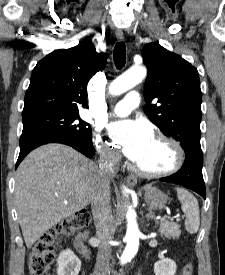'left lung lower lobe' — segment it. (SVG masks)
Here are the masks:
<instances>
[{
    "mask_svg": "<svg viewBox=\"0 0 225 275\" xmlns=\"http://www.w3.org/2000/svg\"><path fill=\"white\" fill-rule=\"evenodd\" d=\"M185 154V162L181 169L177 173L165 178H160L159 180L187 187L205 198V184L202 175V150L191 149L185 152Z\"/></svg>",
    "mask_w": 225,
    "mask_h": 275,
    "instance_id": "left-lung-lower-lobe-1",
    "label": "left lung lower lobe"
}]
</instances>
